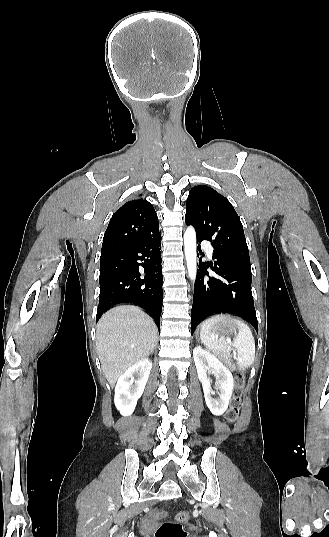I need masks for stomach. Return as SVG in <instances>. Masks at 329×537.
I'll return each instance as SVG.
<instances>
[{"label":"stomach","instance_id":"obj_1","mask_svg":"<svg viewBox=\"0 0 329 537\" xmlns=\"http://www.w3.org/2000/svg\"><path fill=\"white\" fill-rule=\"evenodd\" d=\"M214 321L208 327V333L211 336L221 338H229L232 335H236L239 332V327L236 324L238 319L229 315H218L213 318ZM202 330V329H201Z\"/></svg>","mask_w":329,"mask_h":537}]
</instances>
